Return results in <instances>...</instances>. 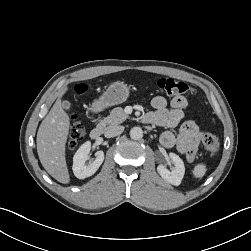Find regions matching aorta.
<instances>
[{
	"label": "aorta",
	"mask_w": 251,
	"mask_h": 251,
	"mask_svg": "<svg viewBox=\"0 0 251 251\" xmlns=\"http://www.w3.org/2000/svg\"><path fill=\"white\" fill-rule=\"evenodd\" d=\"M130 137L133 140H140L143 137V130L140 127H133L130 130Z\"/></svg>",
	"instance_id": "aorta-1"
}]
</instances>
